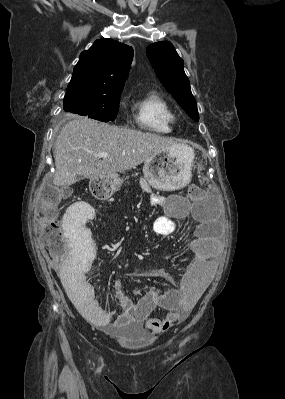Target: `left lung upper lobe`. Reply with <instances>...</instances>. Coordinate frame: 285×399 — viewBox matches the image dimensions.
Instances as JSON below:
<instances>
[{"label":"left lung upper lobe","instance_id":"left-lung-upper-lobe-1","mask_svg":"<svg viewBox=\"0 0 285 399\" xmlns=\"http://www.w3.org/2000/svg\"><path fill=\"white\" fill-rule=\"evenodd\" d=\"M147 57L160 82L172 94L177 103L195 121L199 120L197 105L191 93L184 62L170 42H157L146 48Z\"/></svg>","mask_w":285,"mask_h":399}]
</instances>
